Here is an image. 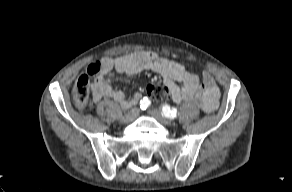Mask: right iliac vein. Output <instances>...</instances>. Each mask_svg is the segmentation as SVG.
Wrapping results in <instances>:
<instances>
[{
	"mask_svg": "<svg viewBox=\"0 0 292 192\" xmlns=\"http://www.w3.org/2000/svg\"><path fill=\"white\" fill-rule=\"evenodd\" d=\"M139 114L138 108H132L128 113H126L124 116L121 117L120 121L122 123H129L137 118Z\"/></svg>",
	"mask_w": 292,
	"mask_h": 192,
	"instance_id": "right-iliac-vein-1",
	"label": "right iliac vein"
}]
</instances>
